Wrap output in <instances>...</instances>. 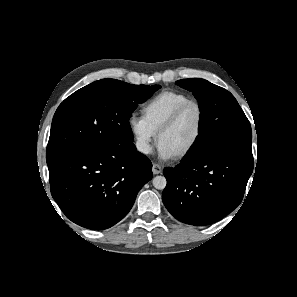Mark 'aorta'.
Returning a JSON list of instances; mask_svg holds the SVG:
<instances>
[{"label":"aorta","mask_w":297,"mask_h":297,"mask_svg":"<svg viewBox=\"0 0 297 297\" xmlns=\"http://www.w3.org/2000/svg\"><path fill=\"white\" fill-rule=\"evenodd\" d=\"M167 181L164 176H156L153 178V186L158 189L162 190L166 187Z\"/></svg>","instance_id":"aorta-1"}]
</instances>
